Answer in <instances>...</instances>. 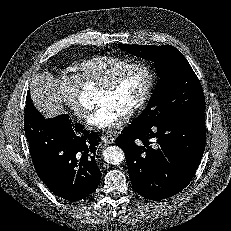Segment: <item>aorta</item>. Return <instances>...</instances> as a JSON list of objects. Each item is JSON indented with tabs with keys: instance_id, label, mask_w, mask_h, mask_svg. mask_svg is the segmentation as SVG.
Returning <instances> with one entry per match:
<instances>
[{
	"instance_id": "aorta-1",
	"label": "aorta",
	"mask_w": 231,
	"mask_h": 231,
	"mask_svg": "<svg viewBox=\"0 0 231 231\" xmlns=\"http://www.w3.org/2000/svg\"><path fill=\"white\" fill-rule=\"evenodd\" d=\"M102 155L104 160L112 165H118L125 159L124 151L118 146L107 147Z\"/></svg>"
}]
</instances>
